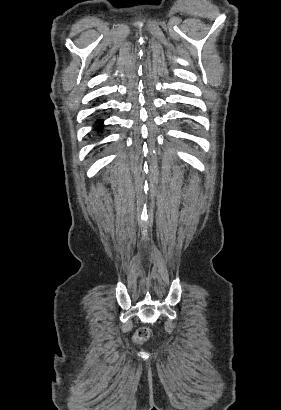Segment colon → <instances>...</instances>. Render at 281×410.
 Returning a JSON list of instances; mask_svg holds the SVG:
<instances>
[{
	"mask_svg": "<svg viewBox=\"0 0 281 410\" xmlns=\"http://www.w3.org/2000/svg\"><path fill=\"white\" fill-rule=\"evenodd\" d=\"M150 329L147 327H141L135 333L133 340L135 343H143L150 338Z\"/></svg>",
	"mask_w": 281,
	"mask_h": 410,
	"instance_id": "5ec220e1",
	"label": "colon"
}]
</instances>
